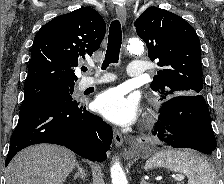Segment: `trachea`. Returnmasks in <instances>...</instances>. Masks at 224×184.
Listing matches in <instances>:
<instances>
[{"label": "trachea", "instance_id": "3493384b", "mask_svg": "<svg viewBox=\"0 0 224 184\" xmlns=\"http://www.w3.org/2000/svg\"><path fill=\"white\" fill-rule=\"evenodd\" d=\"M121 43V24L118 20H114L109 28L108 46L105 54V60L102 64V70H105L111 63H118ZM82 71H87V68L82 67Z\"/></svg>", "mask_w": 224, "mask_h": 184}]
</instances>
